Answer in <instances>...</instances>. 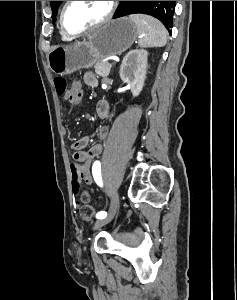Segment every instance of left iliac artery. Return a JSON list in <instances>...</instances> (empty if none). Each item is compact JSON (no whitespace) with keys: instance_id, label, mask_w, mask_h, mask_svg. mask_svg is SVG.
<instances>
[{"instance_id":"obj_1","label":"left iliac artery","mask_w":237,"mask_h":300,"mask_svg":"<svg viewBox=\"0 0 237 300\" xmlns=\"http://www.w3.org/2000/svg\"><path fill=\"white\" fill-rule=\"evenodd\" d=\"M92 173L95 182L102 187L103 182H102V177H101V164L99 161H95L93 166H92ZM107 216V213L105 211L98 212L96 214L97 219H104Z\"/></svg>"}]
</instances>
